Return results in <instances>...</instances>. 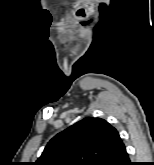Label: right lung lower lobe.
Returning a JSON list of instances; mask_svg holds the SVG:
<instances>
[{"instance_id":"98d812e1","label":"right lung lower lobe","mask_w":154,"mask_h":165,"mask_svg":"<svg viewBox=\"0 0 154 165\" xmlns=\"http://www.w3.org/2000/svg\"><path fill=\"white\" fill-rule=\"evenodd\" d=\"M106 165H132L126 152V148L121 140L116 145L115 154Z\"/></svg>"}]
</instances>
